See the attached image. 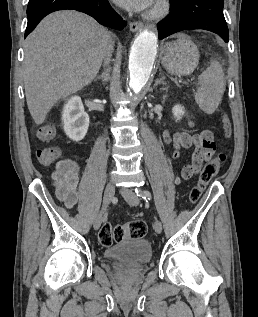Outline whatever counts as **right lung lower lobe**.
Returning <instances> with one entry per match:
<instances>
[{"mask_svg":"<svg viewBox=\"0 0 258 317\" xmlns=\"http://www.w3.org/2000/svg\"><path fill=\"white\" fill-rule=\"evenodd\" d=\"M65 9L84 12L100 24L121 30L126 22L111 8L108 0H29L26 37L48 14Z\"/></svg>","mask_w":258,"mask_h":317,"instance_id":"right-lung-lower-lobe-1","label":"right lung lower lobe"}]
</instances>
